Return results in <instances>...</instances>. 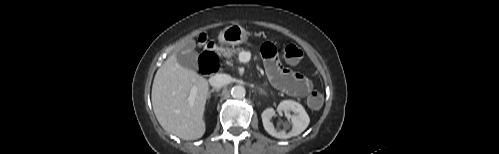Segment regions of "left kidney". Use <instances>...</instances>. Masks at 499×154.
Here are the masks:
<instances>
[{
  "label": "left kidney",
  "instance_id": "obj_1",
  "mask_svg": "<svg viewBox=\"0 0 499 154\" xmlns=\"http://www.w3.org/2000/svg\"><path fill=\"white\" fill-rule=\"evenodd\" d=\"M278 111H283L289 114L292 111L294 114L290 116L292 122V130L286 133L284 130L278 131L271 123V118L275 115L273 108L265 109L262 114V122L264 129L273 137L279 139H287L301 134L309 125L310 118L306 113L304 107L298 102L292 100H284L280 102L277 108Z\"/></svg>",
  "mask_w": 499,
  "mask_h": 154
}]
</instances>
